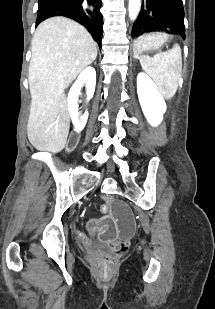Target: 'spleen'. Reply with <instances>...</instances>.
Wrapping results in <instances>:
<instances>
[{
	"mask_svg": "<svg viewBox=\"0 0 215 309\" xmlns=\"http://www.w3.org/2000/svg\"><path fill=\"white\" fill-rule=\"evenodd\" d=\"M181 48L174 44L173 48L166 52H157L154 56L142 54L140 64L153 78V82L164 98H172L178 88V80L181 72Z\"/></svg>",
	"mask_w": 215,
	"mask_h": 309,
	"instance_id": "spleen-1",
	"label": "spleen"
}]
</instances>
